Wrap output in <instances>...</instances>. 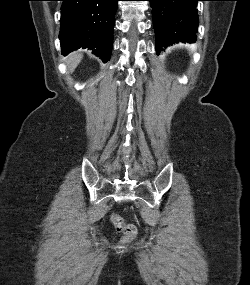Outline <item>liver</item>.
<instances>
[{"label": "liver", "instance_id": "liver-1", "mask_svg": "<svg viewBox=\"0 0 250 285\" xmlns=\"http://www.w3.org/2000/svg\"><path fill=\"white\" fill-rule=\"evenodd\" d=\"M82 57L83 55L80 53H74L69 56L66 63L70 72H73L75 70V68L81 62Z\"/></svg>", "mask_w": 250, "mask_h": 285}]
</instances>
